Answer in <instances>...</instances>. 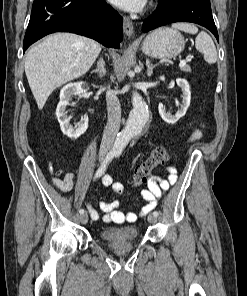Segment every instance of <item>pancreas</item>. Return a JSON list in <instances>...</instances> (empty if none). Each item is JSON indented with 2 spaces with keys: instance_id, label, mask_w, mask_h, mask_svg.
I'll use <instances>...</instances> for the list:
<instances>
[{
  "instance_id": "pancreas-1",
  "label": "pancreas",
  "mask_w": 247,
  "mask_h": 296,
  "mask_svg": "<svg viewBox=\"0 0 247 296\" xmlns=\"http://www.w3.org/2000/svg\"><path fill=\"white\" fill-rule=\"evenodd\" d=\"M181 70L184 72H191V68L189 65H185V66L181 67Z\"/></svg>"
}]
</instances>
